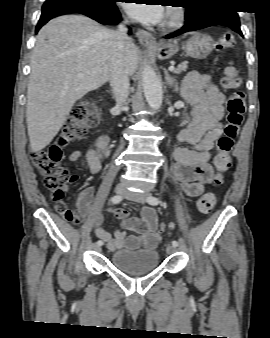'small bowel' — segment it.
I'll list each match as a JSON object with an SVG mask.
<instances>
[{
  "label": "small bowel",
  "instance_id": "c3829d8e",
  "mask_svg": "<svg viewBox=\"0 0 270 338\" xmlns=\"http://www.w3.org/2000/svg\"><path fill=\"white\" fill-rule=\"evenodd\" d=\"M182 96L195 107L193 117L181 130L177 141L180 144L193 145L194 148L178 147L176 149V164L173 167V173L180 181L185 194L196 198L204 193V185L210 182L212 177L211 150L215 141L222 135L221 120L225 114V98L208 76L198 72H190L185 77ZM108 146L109 138L106 135H100L87 150L86 157L78 152H71L69 160L80 166L88 165L92 173H98ZM93 196L92 186L80 190L77 195V211L74 212V221L77 223L92 222L97 237L106 242L110 249L125 247L135 250L139 243L153 249L161 241V234L157 232V214L152 207H145L142 210V218H134V222L139 225L138 228L133 229L134 234L127 235L118 228L112 235L104 228L101 219L94 211ZM113 211L119 218L126 219L127 215L124 211L120 209Z\"/></svg>",
  "mask_w": 270,
  "mask_h": 338
}]
</instances>
